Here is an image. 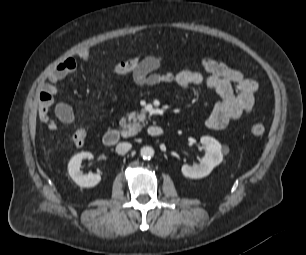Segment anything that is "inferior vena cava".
<instances>
[{"label": "inferior vena cava", "mask_w": 306, "mask_h": 255, "mask_svg": "<svg viewBox=\"0 0 306 255\" xmlns=\"http://www.w3.org/2000/svg\"><path fill=\"white\" fill-rule=\"evenodd\" d=\"M131 147L132 145L130 143L127 142L119 143L116 146V152L120 155H124L131 149Z\"/></svg>", "instance_id": "obj_1"}]
</instances>
